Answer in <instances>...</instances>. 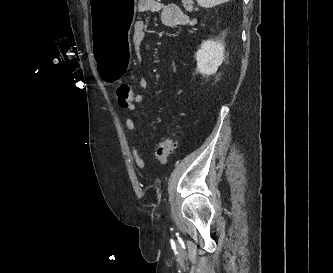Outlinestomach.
Here are the masks:
<instances>
[{"instance_id":"1","label":"stomach","mask_w":333,"mask_h":273,"mask_svg":"<svg viewBox=\"0 0 333 273\" xmlns=\"http://www.w3.org/2000/svg\"><path fill=\"white\" fill-rule=\"evenodd\" d=\"M136 0H91L93 41L90 49L96 57L98 81H123L129 75L131 58L129 32L135 23Z\"/></svg>"}]
</instances>
